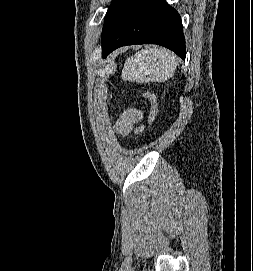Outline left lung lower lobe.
<instances>
[{
	"mask_svg": "<svg viewBox=\"0 0 253 271\" xmlns=\"http://www.w3.org/2000/svg\"><path fill=\"white\" fill-rule=\"evenodd\" d=\"M132 44L162 45L185 58V38L178 12L165 0H130L111 37L102 46V56Z\"/></svg>",
	"mask_w": 253,
	"mask_h": 271,
	"instance_id": "0a47b994",
	"label": "left lung lower lobe"
}]
</instances>
